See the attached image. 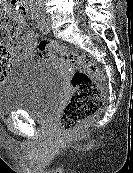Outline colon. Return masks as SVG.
Returning <instances> with one entry per match:
<instances>
[{"label": "colon", "mask_w": 133, "mask_h": 173, "mask_svg": "<svg viewBox=\"0 0 133 173\" xmlns=\"http://www.w3.org/2000/svg\"><path fill=\"white\" fill-rule=\"evenodd\" d=\"M6 24L8 29L14 33L16 30L14 20L9 18ZM38 49V56L46 60L61 53L74 69L71 77L73 93L60 115L62 130L71 133L92 118L102 106L103 73L90 56L65 49L51 41L40 42ZM10 64L11 56L5 46L0 44V79L5 77Z\"/></svg>", "instance_id": "5ec220e1"}]
</instances>
